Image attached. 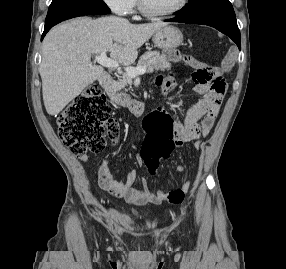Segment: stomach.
Instances as JSON below:
<instances>
[{
    "label": "stomach",
    "instance_id": "0dacf381",
    "mask_svg": "<svg viewBox=\"0 0 286 269\" xmlns=\"http://www.w3.org/2000/svg\"><path fill=\"white\" fill-rule=\"evenodd\" d=\"M152 40L160 49H176L183 42V35L177 27L167 25L156 31Z\"/></svg>",
    "mask_w": 286,
    "mask_h": 269
}]
</instances>
